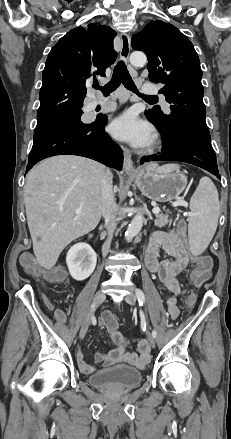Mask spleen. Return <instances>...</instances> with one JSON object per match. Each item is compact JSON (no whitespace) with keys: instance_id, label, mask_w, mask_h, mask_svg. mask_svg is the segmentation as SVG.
I'll list each match as a JSON object with an SVG mask.
<instances>
[{"instance_id":"obj_1","label":"spleen","mask_w":231,"mask_h":439,"mask_svg":"<svg viewBox=\"0 0 231 439\" xmlns=\"http://www.w3.org/2000/svg\"><path fill=\"white\" fill-rule=\"evenodd\" d=\"M163 172L178 171L179 165L168 164L160 167ZM190 209L194 213L188 224L190 250L200 255L208 247L217 229L219 218V197L217 189L208 177H202L190 199Z\"/></svg>"}]
</instances>
